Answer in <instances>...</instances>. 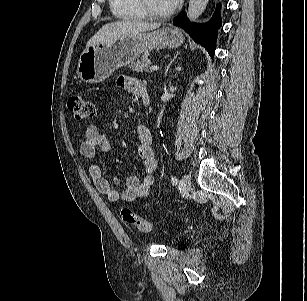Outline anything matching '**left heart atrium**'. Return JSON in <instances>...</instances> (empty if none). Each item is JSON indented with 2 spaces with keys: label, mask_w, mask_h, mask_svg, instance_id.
Segmentation results:
<instances>
[{
  "label": "left heart atrium",
  "mask_w": 307,
  "mask_h": 301,
  "mask_svg": "<svg viewBox=\"0 0 307 301\" xmlns=\"http://www.w3.org/2000/svg\"><path fill=\"white\" fill-rule=\"evenodd\" d=\"M172 7H176L180 0H168Z\"/></svg>",
  "instance_id": "left-heart-atrium-1"
}]
</instances>
